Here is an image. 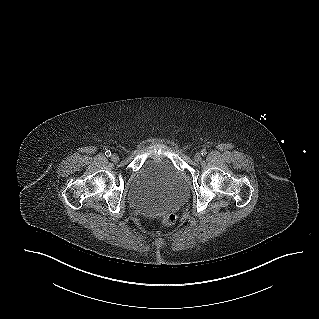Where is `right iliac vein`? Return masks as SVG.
I'll return each mask as SVG.
<instances>
[{
	"label": "right iliac vein",
	"instance_id": "63e3f726",
	"mask_svg": "<svg viewBox=\"0 0 319 319\" xmlns=\"http://www.w3.org/2000/svg\"><path fill=\"white\" fill-rule=\"evenodd\" d=\"M111 160H112L113 162H118V161H119V156H118L117 154H112Z\"/></svg>",
	"mask_w": 319,
	"mask_h": 319
}]
</instances>
